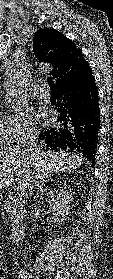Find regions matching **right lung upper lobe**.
<instances>
[{
    "mask_svg": "<svg viewBox=\"0 0 113 279\" xmlns=\"http://www.w3.org/2000/svg\"><path fill=\"white\" fill-rule=\"evenodd\" d=\"M33 51L40 62L50 63L56 86L78 77L88 65L80 49L55 29H40L33 37Z\"/></svg>",
    "mask_w": 113,
    "mask_h": 279,
    "instance_id": "cb5924a9",
    "label": "right lung upper lobe"
}]
</instances>
